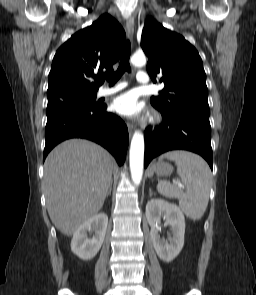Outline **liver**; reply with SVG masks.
Returning <instances> with one entry per match:
<instances>
[{
	"label": "liver",
	"mask_w": 256,
	"mask_h": 295,
	"mask_svg": "<svg viewBox=\"0 0 256 295\" xmlns=\"http://www.w3.org/2000/svg\"><path fill=\"white\" fill-rule=\"evenodd\" d=\"M101 146L82 139L56 146L44 163L48 214L55 227L71 236L103 206L114 168Z\"/></svg>",
	"instance_id": "1"
}]
</instances>
